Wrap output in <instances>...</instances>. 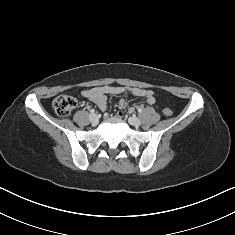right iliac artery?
I'll use <instances>...</instances> for the list:
<instances>
[{
  "label": "right iliac artery",
  "instance_id": "obj_1",
  "mask_svg": "<svg viewBox=\"0 0 235 235\" xmlns=\"http://www.w3.org/2000/svg\"><path fill=\"white\" fill-rule=\"evenodd\" d=\"M90 112L93 114V113L95 112V110H94V109H92Z\"/></svg>",
  "mask_w": 235,
  "mask_h": 235
}]
</instances>
